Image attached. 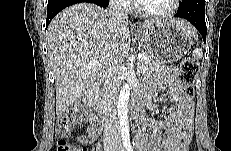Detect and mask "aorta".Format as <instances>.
Here are the masks:
<instances>
[{"label":"aorta","instance_id":"aorta-1","mask_svg":"<svg viewBox=\"0 0 231 151\" xmlns=\"http://www.w3.org/2000/svg\"><path fill=\"white\" fill-rule=\"evenodd\" d=\"M130 96V85L125 83L120 91L118 102H117V111L119 117V125L121 136L124 144H129V121H128V102Z\"/></svg>","mask_w":231,"mask_h":151}]
</instances>
